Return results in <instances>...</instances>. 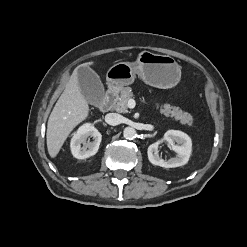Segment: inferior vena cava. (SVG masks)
<instances>
[{
    "label": "inferior vena cava",
    "instance_id": "1",
    "mask_svg": "<svg viewBox=\"0 0 247 247\" xmlns=\"http://www.w3.org/2000/svg\"><path fill=\"white\" fill-rule=\"evenodd\" d=\"M105 121L109 125H119L123 121V116L118 113H108L105 116Z\"/></svg>",
    "mask_w": 247,
    "mask_h": 247
}]
</instances>
